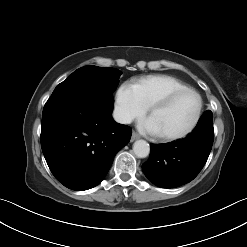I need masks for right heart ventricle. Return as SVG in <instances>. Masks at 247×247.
<instances>
[{
  "label": "right heart ventricle",
  "instance_id": "right-heart-ventricle-1",
  "mask_svg": "<svg viewBox=\"0 0 247 247\" xmlns=\"http://www.w3.org/2000/svg\"><path fill=\"white\" fill-rule=\"evenodd\" d=\"M134 85L138 89L141 101L146 108L171 91L189 88L181 80L164 74L143 77Z\"/></svg>",
  "mask_w": 247,
  "mask_h": 247
}]
</instances>
